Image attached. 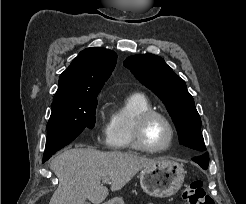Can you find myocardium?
Listing matches in <instances>:
<instances>
[{
	"label": "myocardium",
	"mask_w": 246,
	"mask_h": 204,
	"mask_svg": "<svg viewBox=\"0 0 246 204\" xmlns=\"http://www.w3.org/2000/svg\"><path fill=\"white\" fill-rule=\"evenodd\" d=\"M160 118L162 119L168 126L170 130V138L168 143L161 148H152L148 146L145 142L144 134L145 129L149 121L153 118ZM176 136V130L174 127V124L170 120L168 116H166L164 113L156 111V110H148L138 116V118L135 121V125L133 128V144L136 149L141 150L146 153H162L170 149L172 146Z\"/></svg>",
	"instance_id": "1"
}]
</instances>
